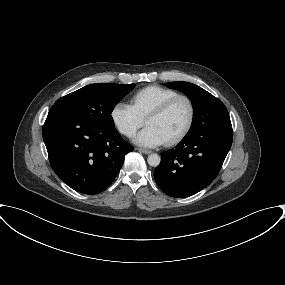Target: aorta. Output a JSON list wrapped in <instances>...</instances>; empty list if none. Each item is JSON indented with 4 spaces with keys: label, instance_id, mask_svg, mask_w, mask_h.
I'll return each mask as SVG.
<instances>
[{
    "label": "aorta",
    "instance_id": "762f6f07",
    "mask_svg": "<svg viewBox=\"0 0 285 285\" xmlns=\"http://www.w3.org/2000/svg\"><path fill=\"white\" fill-rule=\"evenodd\" d=\"M161 158L158 154H150L147 158V162L152 167H157L160 164Z\"/></svg>",
    "mask_w": 285,
    "mask_h": 285
}]
</instances>
